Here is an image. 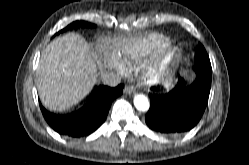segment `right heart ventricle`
<instances>
[{"label": "right heart ventricle", "instance_id": "1", "mask_svg": "<svg viewBox=\"0 0 249 165\" xmlns=\"http://www.w3.org/2000/svg\"><path fill=\"white\" fill-rule=\"evenodd\" d=\"M170 45V41L163 35L154 34L124 51V62L131 67L138 68L157 58Z\"/></svg>", "mask_w": 249, "mask_h": 165}]
</instances>
